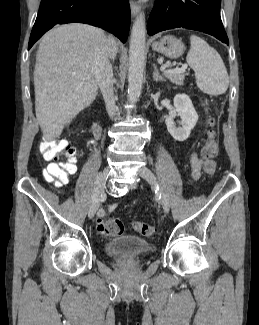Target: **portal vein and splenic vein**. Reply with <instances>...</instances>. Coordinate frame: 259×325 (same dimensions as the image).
Segmentation results:
<instances>
[{"label": "portal vein and splenic vein", "instance_id": "obj_1", "mask_svg": "<svg viewBox=\"0 0 259 325\" xmlns=\"http://www.w3.org/2000/svg\"><path fill=\"white\" fill-rule=\"evenodd\" d=\"M187 67H188L187 64H183L180 68L176 67L174 69L165 70V67H164L163 70L166 73H182V72H185Z\"/></svg>", "mask_w": 259, "mask_h": 325}]
</instances>
